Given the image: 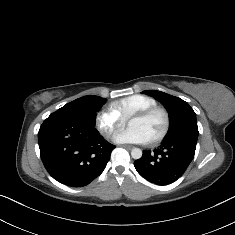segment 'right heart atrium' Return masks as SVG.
I'll return each mask as SVG.
<instances>
[{"mask_svg":"<svg viewBox=\"0 0 235 235\" xmlns=\"http://www.w3.org/2000/svg\"><path fill=\"white\" fill-rule=\"evenodd\" d=\"M94 125L101 135L110 137L114 131L125 127L126 119L117 114L110 104L95 114Z\"/></svg>","mask_w":235,"mask_h":235,"instance_id":"right-heart-atrium-1","label":"right heart atrium"}]
</instances>
